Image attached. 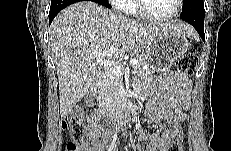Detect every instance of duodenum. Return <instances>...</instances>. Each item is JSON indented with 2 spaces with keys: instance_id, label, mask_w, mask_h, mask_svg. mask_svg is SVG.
Here are the masks:
<instances>
[{
  "instance_id": "1",
  "label": "duodenum",
  "mask_w": 231,
  "mask_h": 151,
  "mask_svg": "<svg viewBox=\"0 0 231 151\" xmlns=\"http://www.w3.org/2000/svg\"><path fill=\"white\" fill-rule=\"evenodd\" d=\"M99 81L97 80L94 82L89 90L90 96L88 97L87 101L91 102L98 90ZM135 112L132 104L131 99L128 94H124L117 102V105L114 111L111 114H105L104 116L110 117L112 121L116 123L118 127L122 126L126 116L133 115Z\"/></svg>"
}]
</instances>
